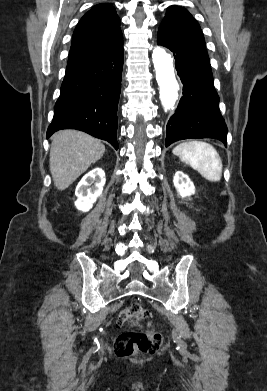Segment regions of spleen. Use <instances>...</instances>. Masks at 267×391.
Returning a JSON list of instances; mask_svg holds the SVG:
<instances>
[{
    "label": "spleen",
    "instance_id": "1",
    "mask_svg": "<svg viewBox=\"0 0 267 391\" xmlns=\"http://www.w3.org/2000/svg\"><path fill=\"white\" fill-rule=\"evenodd\" d=\"M173 154L197 170L206 180H221L222 160L211 144L202 141L184 142L173 149Z\"/></svg>",
    "mask_w": 267,
    "mask_h": 391
}]
</instances>
